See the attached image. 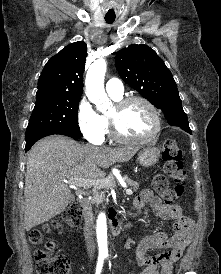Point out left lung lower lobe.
Masks as SVG:
<instances>
[{
    "label": "left lung lower lobe",
    "instance_id": "1",
    "mask_svg": "<svg viewBox=\"0 0 221 274\" xmlns=\"http://www.w3.org/2000/svg\"><path fill=\"white\" fill-rule=\"evenodd\" d=\"M172 126H178L180 127L181 129H183L184 131H186L187 133L191 134V129L189 127V124H170Z\"/></svg>",
    "mask_w": 221,
    "mask_h": 274
}]
</instances>
